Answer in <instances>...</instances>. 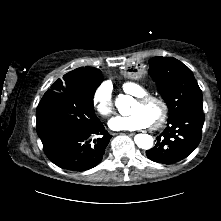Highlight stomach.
<instances>
[{"label":"stomach","instance_id":"1","mask_svg":"<svg viewBox=\"0 0 221 221\" xmlns=\"http://www.w3.org/2000/svg\"><path fill=\"white\" fill-rule=\"evenodd\" d=\"M123 74L130 80H137L143 77L144 68L137 62H130L124 65Z\"/></svg>","mask_w":221,"mask_h":221}]
</instances>
